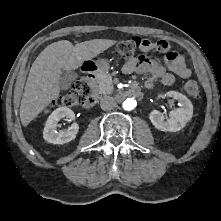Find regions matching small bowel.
Returning a JSON list of instances; mask_svg holds the SVG:
<instances>
[{
  "label": "small bowel",
  "instance_id": "small-bowel-1",
  "mask_svg": "<svg viewBox=\"0 0 221 221\" xmlns=\"http://www.w3.org/2000/svg\"><path fill=\"white\" fill-rule=\"evenodd\" d=\"M168 49L169 45L164 40H160L156 43L145 40L141 51L150 52L156 50L165 53V66L141 55L138 58L127 61L123 65L122 70L125 74H149V77L145 81V85L148 88H152L157 80H160L163 85L169 86L174 83L176 77L181 79L189 78L191 71L187 67L183 57L172 50L168 51Z\"/></svg>",
  "mask_w": 221,
  "mask_h": 221
}]
</instances>
